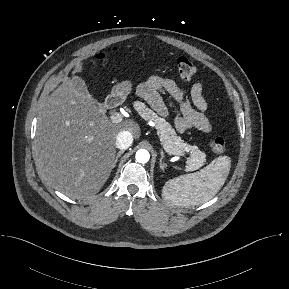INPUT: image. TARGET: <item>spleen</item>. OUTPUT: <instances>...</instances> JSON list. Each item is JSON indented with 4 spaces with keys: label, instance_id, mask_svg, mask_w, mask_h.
<instances>
[{
    "label": "spleen",
    "instance_id": "spleen-1",
    "mask_svg": "<svg viewBox=\"0 0 289 289\" xmlns=\"http://www.w3.org/2000/svg\"><path fill=\"white\" fill-rule=\"evenodd\" d=\"M231 160L219 156L200 171L168 180L162 189L163 199L171 205L191 207L212 199L224 185Z\"/></svg>",
    "mask_w": 289,
    "mask_h": 289
}]
</instances>
